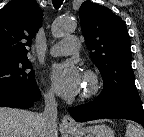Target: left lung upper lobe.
<instances>
[{
    "mask_svg": "<svg viewBox=\"0 0 144 137\" xmlns=\"http://www.w3.org/2000/svg\"><path fill=\"white\" fill-rule=\"evenodd\" d=\"M79 17L91 58L104 81L99 97L109 101L139 96L131 69V41L124 21L109 8L90 1L81 5Z\"/></svg>",
    "mask_w": 144,
    "mask_h": 137,
    "instance_id": "obj_1",
    "label": "left lung upper lobe"
}]
</instances>
